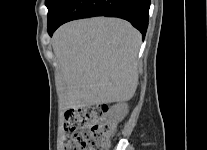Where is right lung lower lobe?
I'll return each instance as SVG.
<instances>
[{"label": "right lung lower lobe", "mask_w": 207, "mask_h": 150, "mask_svg": "<svg viewBox=\"0 0 207 150\" xmlns=\"http://www.w3.org/2000/svg\"><path fill=\"white\" fill-rule=\"evenodd\" d=\"M150 0H67L48 22V33L63 23L94 16L118 17L129 21L144 38L148 27Z\"/></svg>", "instance_id": "obj_1"}]
</instances>
